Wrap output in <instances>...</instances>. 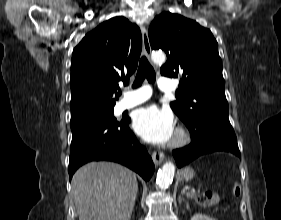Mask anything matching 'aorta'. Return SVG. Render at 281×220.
<instances>
[{
    "label": "aorta",
    "instance_id": "aorta-1",
    "mask_svg": "<svg viewBox=\"0 0 281 220\" xmlns=\"http://www.w3.org/2000/svg\"><path fill=\"white\" fill-rule=\"evenodd\" d=\"M151 59L154 63H164L166 56L163 52H154L151 55ZM174 174V164L172 162L165 163L157 174L156 182L159 188L164 189L168 187L173 181Z\"/></svg>",
    "mask_w": 281,
    "mask_h": 220
}]
</instances>
